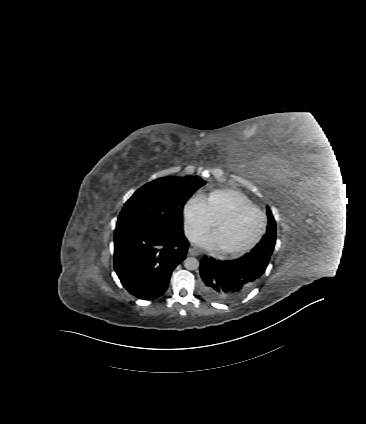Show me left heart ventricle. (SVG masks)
<instances>
[{
  "instance_id": "left-heart-ventricle-1",
  "label": "left heart ventricle",
  "mask_w": 366,
  "mask_h": 424,
  "mask_svg": "<svg viewBox=\"0 0 366 424\" xmlns=\"http://www.w3.org/2000/svg\"><path fill=\"white\" fill-rule=\"evenodd\" d=\"M262 219L258 212L248 210L233 221L219 226L214 232L220 249L238 250L251 243L258 235Z\"/></svg>"
}]
</instances>
